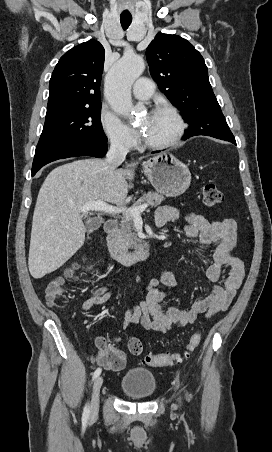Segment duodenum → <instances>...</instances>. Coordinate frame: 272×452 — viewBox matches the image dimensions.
I'll list each match as a JSON object with an SVG mask.
<instances>
[{
	"label": "duodenum",
	"instance_id": "obj_1",
	"mask_svg": "<svg viewBox=\"0 0 272 452\" xmlns=\"http://www.w3.org/2000/svg\"><path fill=\"white\" fill-rule=\"evenodd\" d=\"M105 231L107 233L108 251L114 259L124 264H132L139 260L148 259L151 256V249L148 245L140 246L136 250H127L120 245L117 238L118 223L116 220H107Z\"/></svg>",
	"mask_w": 272,
	"mask_h": 452
}]
</instances>
